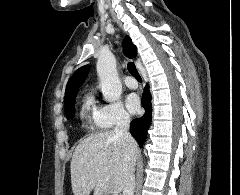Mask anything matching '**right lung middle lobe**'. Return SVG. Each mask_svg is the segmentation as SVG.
Returning a JSON list of instances; mask_svg holds the SVG:
<instances>
[{
	"label": "right lung middle lobe",
	"instance_id": "1",
	"mask_svg": "<svg viewBox=\"0 0 240 195\" xmlns=\"http://www.w3.org/2000/svg\"><path fill=\"white\" fill-rule=\"evenodd\" d=\"M74 106H75V101L71 102L70 105L65 107V113L67 119H73L74 117Z\"/></svg>",
	"mask_w": 240,
	"mask_h": 195
}]
</instances>
